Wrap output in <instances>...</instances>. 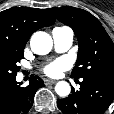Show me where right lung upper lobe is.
I'll return each mask as SVG.
<instances>
[{"mask_svg": "<svg viewBox=\"0 0 114 114\" xmlns=\"http://www.w3.org/2000/svg\"><path fill=\"white\" fill-rule=\"evenodd\" d=\"M55 19L46 9L13 7L0 12V47L24 50L30 36Z\"/></svg>", "mask_w": 114, "mask_h": 114, "instance_id": "right-lung-upper-lobe-1", "label": "right lung upper lobe"}]
</instances>
